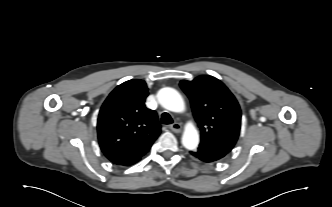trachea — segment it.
Here are the masks:
<instances>
[{
	"label": "trachea",
	"mask_w": 332,
	"mask_h": 207,
	"mask_svg": "<svg viewBox=\"0 0 332 207\" xmlns=\"http://www.w3.org/2000/svg\"><path fill=\"white\" fill-rule=\"evenodd\" d=\"M161 122L163 124H171L173 123V119L168 113H163L161 116Z\"/></svg>",
	"instance_id": "3493384b"
}]
</instances>
